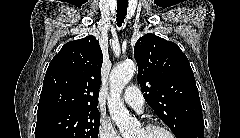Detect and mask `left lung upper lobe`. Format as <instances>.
I'll list each match as a JSON object with an SVG mask.
<instances>
[{
  "mask_svg": "<svg viewBox=\"0 0 240 138\" xmlns=\"http://www.w3.org/2000/svg\"><path fill=\"white\" fill-rule=\"evenodd\" d=\"M134 55L143 96L174 135L204 126L194 74L179 46L149 33L136 42Z\"/></svg>",
  "mask_w": 240,
  "mask_h": 138,
  "instance_id": "1",
  "label": "left lung upper lobe"
}]
</instances>
